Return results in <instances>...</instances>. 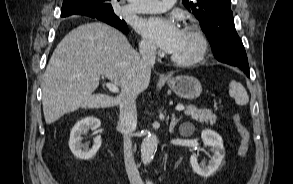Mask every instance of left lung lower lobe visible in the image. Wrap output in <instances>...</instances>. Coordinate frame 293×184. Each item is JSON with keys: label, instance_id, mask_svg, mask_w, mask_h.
<instances>
[{"label": "left lung lower lobe", "instance_id": "obj_1", "mask_svg": "<svg viewBox=\"0 0 293 184\" xmlns=\"http://www.w3.org/2000/svg\"><path fill=\"white\" fill-rule=\"evenodd\" d=\"M220 50L222 55L215 57L218 61L237 66L250 77L247 55L239 36H228Z\"/></svg>", "mask_w": 293, "mask_h": 184}]
</instances>
